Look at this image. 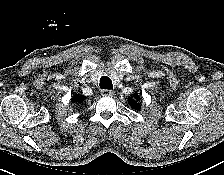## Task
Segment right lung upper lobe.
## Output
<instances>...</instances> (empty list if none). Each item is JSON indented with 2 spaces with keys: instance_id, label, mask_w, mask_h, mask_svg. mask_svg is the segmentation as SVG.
<instances>
[{
  "instance_id": "1",
  "label": "right lung upper lobe",
  "mask_w": 224,
  "mask_h": 175,
  "mask_svg": "<svg viewBox=\"0 0 224 175\" xmlns=\"http://www.w3.org/2000/svg\"><path fill=\"white\" fill-rule=\"evenodd\" d=\"M85 99H86V97L77 94V95H75V96L72 98V102H73V103H81V102H83Z\"/></svg>"
}]
</instances>
